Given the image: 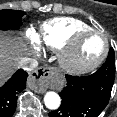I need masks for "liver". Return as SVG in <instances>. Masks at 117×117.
<instances>
[{
    "mask_svg": "<svg viewBox=\"0 0 117 117\" xmlns=\"http://www.w3.org/2000/svg\"><path fill=\"white\" fill-rule=\"evenodd\" d=\"M27 49L16 38L0 36V85L12 74Z\"/></svg>",
    "mask_w": 117,
    "mask_h": 117,
    "instance_id": "liver-1",
    "label": "liver"
}]
</instances>
